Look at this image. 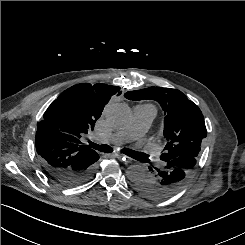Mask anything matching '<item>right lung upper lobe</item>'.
I'll use <instances>...</instances> for the list:
<instances>
[{
	"label": "right lung upper lobe",
	"mask_w": 245,
	"mask_h": 245,
	"mask_svg": "<svg viewBox=\"0 0 245 245\" xmlns=\"http://www.w3.org/2000/svg\"><path fill=\"white\" fill-rule=\"evenodd\" d=\"M120 87L82 83L62 92L37 123L36 151L41 162L58 169L98 159L99 155L81 137L94 129L110 98Z\"/></svg>",
	"instance_id": "obj_1"
}]
</instances>
